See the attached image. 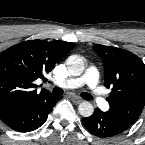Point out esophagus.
Listing matches in <instances>:
<instances>
[{
    "instance_id": "34e87169",
    "label": "esophagus",
    "mask_w": 145,
    "mask_h": 145,
    "mask_svg": "<svg viewBox=\"0 0 145 145\" xmlns=\"http://www.w3.org/2000/svg\"><path fill=\"white\" fill-rule=\"evenodd\" d=\"M71 99H72V101H73L75 104H79V103H81V102L83 101V99L80 98V97L77 96V95H72Z\"/></svg>"
}]
</instances>
